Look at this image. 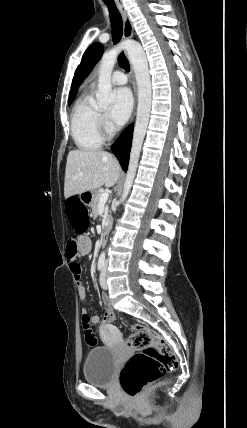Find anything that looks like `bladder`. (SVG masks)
Returning <instances> with one entry per match:
<instances>
[{"mask_svg":"<svg viewBox=\"0 0 247 428\" xmlns=\"http://www.w3.org/2000/svg\"><path fill=\"white\" fill-rule=\"evenodd\" d=\"M118 367L117 352L107 346L92 348L84 362L85 380L96 386H108L113 382Z\"/></svg>","mask_w":247,"mask_h":428,"instance_id":"bladder-1","label":"bladder"}]
</instances>
